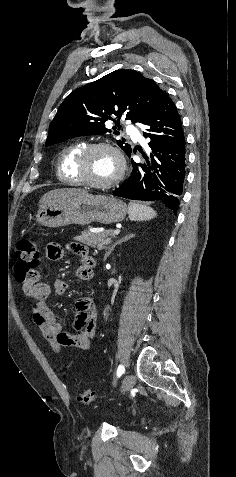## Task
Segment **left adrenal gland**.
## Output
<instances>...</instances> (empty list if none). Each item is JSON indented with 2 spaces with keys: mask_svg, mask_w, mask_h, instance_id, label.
Listing matches in <instances>:
<instances>
[{
  "mask_svg": "<svg viewBox=\"0 0 236 477\" xmlns=\"http://www.w3.org/2000/svg\"><path fill=\"white\" fill-rule=\"evenodd\" d=\"M135 235L134 234H128L127 236H125L124 238L116 241L108 250V252L105 254V257L104 259L106 260V258L111 254V252L114 250V248L117 246V245H120L122 244L123 242H126L128 240H130L131 238H133Z\"/></svg>",
  "mask_w": 236,
  "mask_h": 477,
  "instance_id": "1",
  "label": "left adrenal gland"
}]
</instances>
